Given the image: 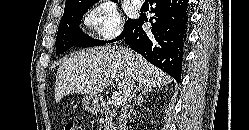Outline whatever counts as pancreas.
Returning <instances> with one entry per match:
<instances>
[{"label":"pancreas","mask_w":249,"mask_h":130,"mask_svg":"<svg viewBox=\"0 0 249 130\" xmlns=\"http://www.w3.org/2000/svg\"><path fill=\"white\" fill-rule=\"evenodd\" d=\"M107 116L100 119V122L103 124L104 130H115L113 123V111L110 109L106 110Z\"/></svg>","instance_id":"obj_1"}]
</instances>
